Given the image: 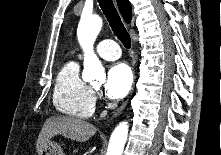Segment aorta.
<instances>
[{
	"label": "aorta",
	"mask_w": 221,
	"mask_h": 155,
	"mask_svg": "<svg viewBox=\"0 0 221 155\" xmlns=\"http://www.w3.org/2000/svg\"><path fill=\"white\" fill-rule=\"evenodd\" d=\"M102 28V19L99 16L81 18L77 36L84 51V70L82 77L85 81L97 80L103 82L106 78L105 70L94 53L93 45ZM128 135L127 122H121L111 134L107 155H122Z\"/></svg>",
	"instance_id": "aorta-1"
}]
</instances>
